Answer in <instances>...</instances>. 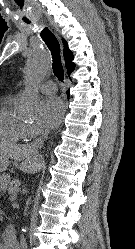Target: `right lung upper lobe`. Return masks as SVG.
Returning a JSON list of instances; mask_svg holds the SVG:
<instances>
[{"mask_svg":"<svg viewBox=\"0 0 135 249\" xmlns=\"http://www.w3.org/2000/svg\"><path fill=\"white\" fill-rule=\"evenodd\" d=\"M63 43H64V58L67 66V72L70 75V73H72L75 68V64L72 62L74 57L72 51L68 49L67 42L63 40Z\"/></svg>","mask_w":135,"mask_h":249,"instance_id":"cb5924a9","label":"right lung upper lobe"}]
</instances>
